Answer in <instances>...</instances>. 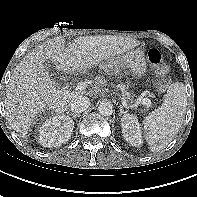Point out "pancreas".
<instances>
[{"instance_id": "pancreas-1", "label": "pancreas", "mask_w": 197, "mask_h": 197, "mask_svg": "<svg viewBox=\"0 0 197 197\" xmlns=\"http://www.w3.org/2000/svg\"><path fill=\"white\" fill-rule=\"evenodd\" d=\"M95 80H96V83H97L98 85H101V84L103 83V78H102V77H96ZM119 87L123 90V93H122V94H123L124 99H125L126 101H131V102H133V96H132L131 93H129V92L126 91L125 85L120 84Z\"/></svg>"}]
</instances>
